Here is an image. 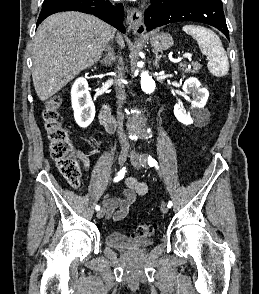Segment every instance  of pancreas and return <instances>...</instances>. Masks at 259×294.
Masks as SVG:
<instances>
[{"label": "pancreas", "instance_id": "cf45deb5", "mask_svg": "<svg viewBox=\"0 0 259 294\" xmlns=\"http://www.w3.org/2000/svg\"><path fill=\"white\" fill-rule=\"evenodd\" d=\"M180 66L182 67L181 69L184 70L185 72H191V73H196L199 69L202 68V65L198 62H192L191 64L192 69L187 68L186 64H183V63H181Z\"/></svg>", "mask_w": 259, "mask_h": 294}]
</instances>
